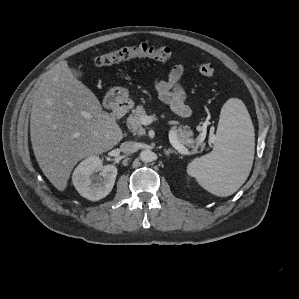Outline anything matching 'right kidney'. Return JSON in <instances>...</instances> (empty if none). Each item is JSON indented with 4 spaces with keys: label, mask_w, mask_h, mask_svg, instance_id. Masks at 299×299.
<instances>
[{
    "label": "right kidney",
    "mask_w": 299,
    "mask_h": 299,
    "mask_svg": "<svg viewBox=\"0 0 299 299\" xmlns=\"http://www.w3.org/2000/svg\"><path fill=\"white\" fill-rule=\"evenodd\" d=\"M116 176L117 168L114 165L103 166L101 159L93 155L75 168L72 181L81 196L98 201L110 193Z\"/></svg>",
    "instance_id": "obj_1"
}]
</instances>
